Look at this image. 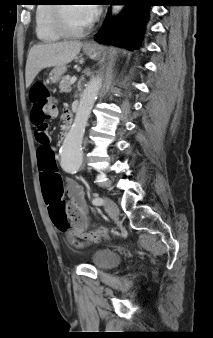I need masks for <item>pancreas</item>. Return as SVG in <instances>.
<instances>
[{"mask_svg":"<svg viewBox=\"0 0 213 338\" xmlns=\"http://www.w3.org/2000/svg\"><path fill=\"white\" fill-rule=\"evenodd\" d=\"M60 92L61 93H68L71 91V85H70V77L69 76H63L60 81Z\"/></svg>","mask_w":213,"mask_h":338,"instance_id":"1","label":"pancreas"}]
</instances>
